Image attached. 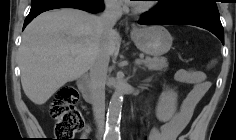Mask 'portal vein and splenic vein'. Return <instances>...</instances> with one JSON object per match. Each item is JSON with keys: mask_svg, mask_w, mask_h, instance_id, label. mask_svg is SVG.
I'll return each mask as SVG.
<instances>
[{"mask_svg": "<svg viewBox=\"0 0 236 140\" xmlns=\"http://www.w3.org/2000/svg\"><path fill=\"white\" fill-rule=\"evenodd\" d=\"M135 63L138 64V65L142 64V60L141 59H135Z\"/></svg>", "mask_w": 236, "mask_h": 140, "instance_id": "obj_1", "label": "portal vein and splenic vein"}]
</instances>
